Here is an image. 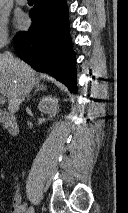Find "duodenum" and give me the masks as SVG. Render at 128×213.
Wrapping results in <instances>:
<instances>
[{
  "label": "duodenum",
  "mask_w": 128,
  "mask_h": 213,
  "mask_svg": "<svg viewBox=\"0 0 128 213\" xmlns=\"http://www.w3.org/2000/svg\"><path fill=\"white\" fill-rule=\"evenodd\" d=\"M0 124L12 136H16L19 133V126L15 116L6 111L0 110Z\"/></svg>",
  "instance_id": "obj_1"
}]
</instances>
